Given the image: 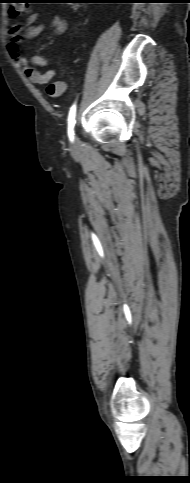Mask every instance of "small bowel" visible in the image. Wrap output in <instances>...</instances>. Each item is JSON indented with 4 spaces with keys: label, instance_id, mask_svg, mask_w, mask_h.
Listing matches in <instances>:
<instances>
[{
    "label": "small bowel",
    "instance_id": "obj_1",
    "mask_svg": "<svg viewBox=\"0 0 190 483\" xmlns=\"http://www.w3.org/2000/svg\"><path fill=\"white\" fill-rule=\"evenodd\" d=\"M38 15H31L26 22L27 28L24 31V37L26 39H34L44 32L46 26L44 24H36ZM54 34L61 35L67 29V23L59 18L55 17L51 23ZM23 27L18 24H14L10 27L8 34L10 38L7 42V52L12 60L23 70L26 77L34 84L44 85L51 82L55 76L53 70H47L46 72H40L34 66H46L48 60L41 55L27 56L21 51V33ZM66 88V83L61 80L54 81L47 86V93L51 97H57L61 95Z\"/></svg>",
    "mask_w": 190,
    "mask_h": 483
}]
</instances>
